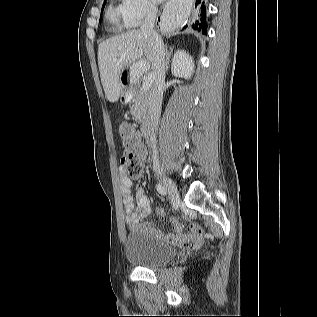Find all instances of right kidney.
Here are the masks:
<instances>
[{
    "label": "right kidney",
    "mask_w": 317,
    "mask_h": 317,
    "mask_svg": "<svg viewBox=\"0 0 317 317\" xmlns=\"http://www.w3.org/2000/svg\"><path fill=\"white\" fill-rule=\"evenodd\" d=\"M172 74L176 77L190 79L194 72V61L184 50H178L172 59Z\"/></svg>",
    "instance_id": "ca27d5eb"
}]
</instances>
